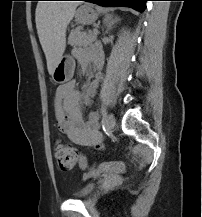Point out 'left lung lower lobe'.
<instances>
[{
	"label": "left lung lower lobe",
	"mask_w": 202,
	"mask_h": 217,
	"mask_svg": "<svg viewBox=\"0 0 202 217\" xmlns=\"http://www.w3.org/2000/svg\"><path fill=\"white\" fill-rule=\"evenodd\" d=\"M91 2L103 7H130L139 12H143L145 9V2L148 0H82Z\"/></svg>",
	"instance_id": "obj_1"
}]
</instances>
